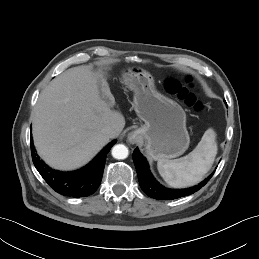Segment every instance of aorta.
Segmentation results:
<instances>
[{"instance_id": "aorta-1", "label": "aorta", "mask_w": 259, "mask_h": 259, "mask_svg": "<svg viewBox=\"0 0 259 259\" xmlns=\"http://www.w3.org/2000/svg\"><path fill=\"white\" fill-rule=\"evenodd\" d=\"M128 154H129L128 148L123 144L115 145L112 148V156L115 159H118V160L125 159L128 157Z\"/></svg>"}]
</instances>
